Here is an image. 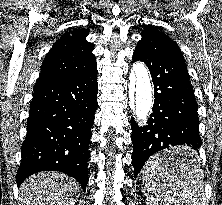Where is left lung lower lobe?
Instances as JSON below:
<instances>
[{"label":"left lung lower lobe","mask_w":222,"mask_h":205,"mask_svg":"<svg viewBox=\"0 0 222 205\" xmlns=\"http://www.w3.org/2000/svg\"><path fill=\"white\" fill-rule=\"evenodd\" d=\"M132 59L133 62L143 61L148 66L155 93L148 125L138 127L131 119L132 163L136 177L155 152L171 145H187L198 150L202 140L198 130V105L178 45L164 34L142 35ZM193 150L174 156L173 161L190 162L195 157Z\"/></svg>","instance_id":"1"}]
</instances>
